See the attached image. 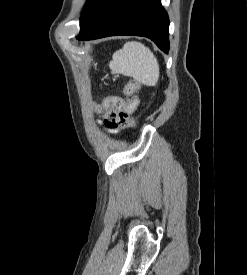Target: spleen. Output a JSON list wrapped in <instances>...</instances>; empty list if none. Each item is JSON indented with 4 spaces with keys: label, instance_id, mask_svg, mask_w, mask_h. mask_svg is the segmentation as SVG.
<instances>
[{
    "label": "spleen",
    "instance_id": "3e777b00",
    "mask_svg": "<svg viewBox=\"0 0 247 275\" xmlns=\"http://www.w3.org/2000/svg\"><path fill=\"white\" fill-rule=\"evenodd\" d=\"M112 73L133 77L146 86H155L159 79V64L152 51L137 41L126 42L116 51L109 64Z\"/></svg>",
    "mask_w": 247,
    "mask_h": 275
}]
</instances>
